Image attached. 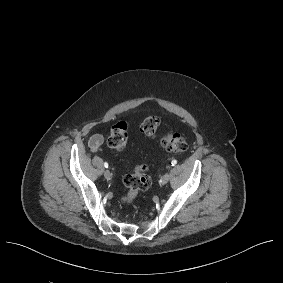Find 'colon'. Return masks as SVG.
I'll return each instance as SVG.
<instances>
[{"instance_id":"colon-1","label":"colon","mask_w":283,"mask_h":283,"mask_svg":"<svg viewBox=\"0 0 283 283\" xmlns=\"http://www.w3.org/2000/svg\"><path fill=\"white\" fill-rule=\"evenodd\" d=\"M159 125V117L156 114H148L140 124V131L147 137L155 138ZM128 135L127 124L124 121H119L111 128L108 145L114 150L123 151L127 146ZM159 143L164 149L175 154L182 153L187 149V142L184 136L172 131L161 135ZM147 169L145 164H138L124 177L123 182L127 190L120 199L122 205H131L140 192L150 188L152 181L147 174Z\"/></svg>"}]
</instances>
